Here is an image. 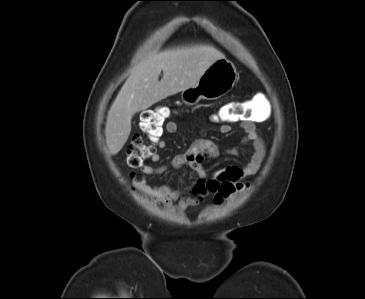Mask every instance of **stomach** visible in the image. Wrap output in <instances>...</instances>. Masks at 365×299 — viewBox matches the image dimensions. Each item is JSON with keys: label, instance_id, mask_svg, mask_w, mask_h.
Listing matches in <instances>:
<instances>
[{"label": "stomach", "instance_id": "1", "mask_svg": "<svg viewBox=\"0 0 365 299\" xmlns=\"http://www.w3.org/2000/svg\"><path fill=\"white\" fill-rule=\"evenodd\" d=\"M234 64L226 58L213 62L200 77L198 83L182 91L186 105H195L200 100H216L226 95L238 81Z\"/></svg>", "mask_w": 365, "mask_h": 299}]
</instances>
